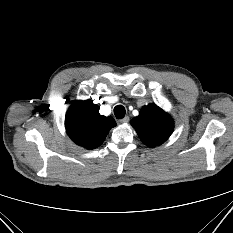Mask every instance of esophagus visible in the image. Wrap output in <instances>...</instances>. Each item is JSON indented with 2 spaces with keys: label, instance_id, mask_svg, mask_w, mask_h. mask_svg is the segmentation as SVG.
Here are the masks:
<instances>
[{
  "label": "esophagus",
  "instance_id": "obj_1",
  "mask_svg": "<svg viewBox=\"0 0 233 233\" xmlns=\"http://www.w3.org/2000/svg\"><path fill=\"white\" fill-rule=\"evenodd\" d=\"M120 123H128L129 122V117L125 116L124 118H122L120 121Z\"/></svg>",
  "mask_w": 233,
  "mask_h": 233
}]
</instances>
